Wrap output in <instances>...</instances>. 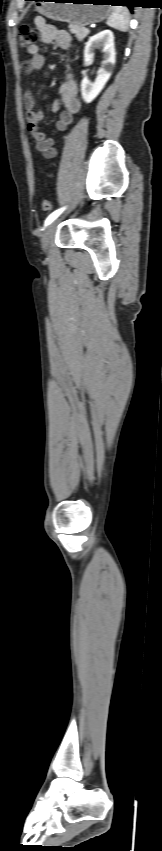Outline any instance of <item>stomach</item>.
Returning <instances> with one entry per match:
<instances>
[{
  "mask_svg": "<svg viewBox=\"0 0 162 851\" xmlns=\"http://www.w3.org/2000/svg\"><path fill=\"white\" fill-rule=\"evenodd\" d=\"M40 0L36 10L43 16L77 26H86L103 21L111 12L105 0Z\"/></svg>",
  "mask_w": 162,
  "mask_h": 851,
  "instance_id": "1",
  "label": "stomach"
}]
</instances>
